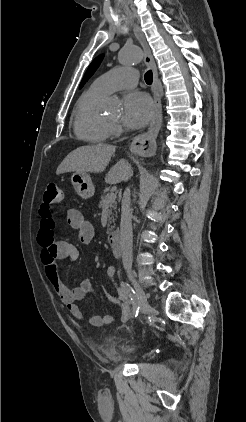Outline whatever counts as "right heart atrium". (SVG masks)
<instances>
[{
	"label": "right heart atrium",
	"mask_w": 246,
	"mask_h": 422,
	"mask_svg": "<svg viewBox=\"0 0 246 422\" xmlns=\"http://www.w3.org/2000/svg\"><path fill=\"white\" fill-rule=\"evenodd\" d=\"M121 128L119 125L115 124V123H111L110 124V135L111 136H117L121 133Z\"/></svg>",
	"instance_id": "right-heart-atrium-1"
}]
</instances>
